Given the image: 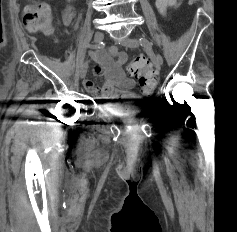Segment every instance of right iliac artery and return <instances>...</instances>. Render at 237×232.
<instances>
[{
	"label": "right iliac artery",
	"mask_w": 237,
	"mask_h": 232,
	"mask_svg": "<svg viewBox=\"0 0 237 232\" xmlns=\"http://www.w3.org/2000/svg\"><path fill=\"white\" fill-rule=\"evenodd\" d=\"M104 47V43L100 42L98 45L93 46L94 49H101Z\"/></svg>",
	"instance_id": "obj_1"
}]
</instances>
